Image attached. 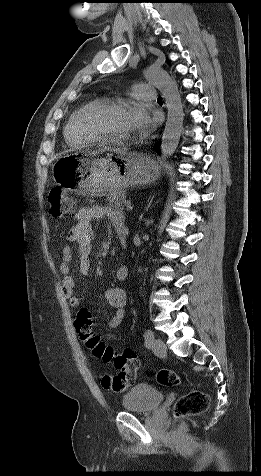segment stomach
I'll return each instance as SVG.
<instances>
[{"instance_id": "stomach-1", "label": "stomach", "mask_w": 261, "mask_h": 476, "mask_svg": "<svg viewBox=\"0 0 261 476\" xmlns=\"http://www.w3.org/2000/svg\"><path fill=\"white\" fill-rule=\"evenodd\" d=\"M78 156H60L55 178L64 190L77 195H119L131 186L146 185L159 177V166L150 157L116 149L78 151Z\"/></svg>"}]
</instances>
